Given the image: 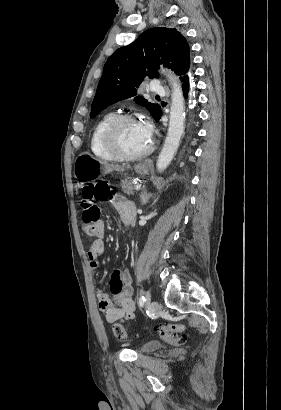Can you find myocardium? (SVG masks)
Segmentation results:
<instances>
[{"mask_svg": "<svg viewBox=\"0 0 281 410\" xmlns=\"http://www.w3.org/2000/svg\"><path fill=\"white\" fill-rule=\"evenodd\" d=\"M127 121H136V119L128 114H120L115 116L111 120V122L107 125L103 132V143L105 148L117 159L121 160H136L146 157L152 152L154 148L152 142H150L149 146L146 149L137 153H128L124 149H122L121 146L118 144L116 138L117 129L123 122Z\"/></svg>", "mask_w": 281, "mask_h": 410, "instance_id": "f54148a6", "label": "myocardium"}]
</instances>
